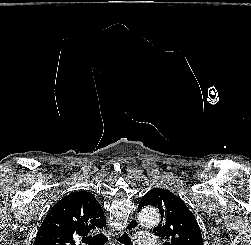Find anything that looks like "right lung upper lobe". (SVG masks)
<instances>
[{"label": "right lung upper lobe", "mask_w": 251, "mask_h": 245, "mask_svg": "<svg viewBox=\"0 0 251 245\" xmlns=\"http://www.w3.org/2000/svg\"><path fill=\"white\" fill-rule=\"evenodd\" d=\"M106 226L103 210L88 191L69 194L48 212L33 245H76L80 236Z\"/></svg>", "instance_id": "1"}]
</instances>
